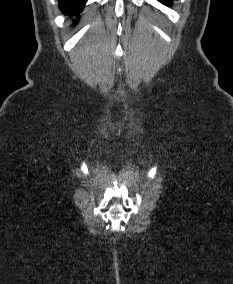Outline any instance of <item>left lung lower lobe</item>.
Segmentation results:
<instances>
[{
	"label": "left lung lower lobe",
	"mask_w": 233,
	"mask_h": 284,
	"mask_svg": "<svg viewBox=\"0 0 233 284\" xmlns=\"http://www.w3.org/2000/svg\"><path fill=\"white\" fill-rule=\"evenodd\" d=\"M158 1L166 6H170L172 4V0H158Z\"/></svg>",
	"instance_id": "obj_1"
}]
</instances>
